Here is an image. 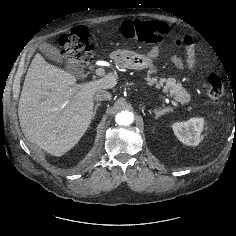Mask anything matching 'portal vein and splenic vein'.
<instances>
[{"label":"portal vein and splenic vein","mask_w":236,"mask_h":236,"mask_svg":"<svg viewBox=\"0 0 236 236\" xmlns=\"http://www.w3.org/2000/svg\"><path fill=\"white\" fill-rule=\"evenodd\" d=\"M95 73H96L97 76H101V77L106 76V75H105V74H106V73H105V70L102 69V68H97V69L95 70ZM171 103H172L173 106L178 107V103H177V102H175V101L172 100Z\"/></svg>","instance_id":"obj_1"}]
</instances>
